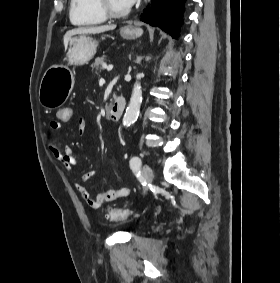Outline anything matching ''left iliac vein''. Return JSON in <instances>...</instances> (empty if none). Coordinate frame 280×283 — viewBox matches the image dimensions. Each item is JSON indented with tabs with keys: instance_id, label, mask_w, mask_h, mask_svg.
Wrapping results in <instances>:
<instances>
[{
	"instance_id": "4c4485c4",
	"label": "left iliac vein",
	"mask_w": 280,
	"mask_h": 283,
	"mask_svg": "<svg viewBox=\"0 0 280 283\" xmlns=\"http://www.w3.org/2000/svg\"><path fill=\"white\" fill-rule=\"evenodd\" d=\"M141 174H142V178L144 180V182L146 184H151L154 178V174L152 169L148 166V165H143L142 169H141ZM148 190L147 187H144V192H146Z\"/></svg>"
}]
</instances>
